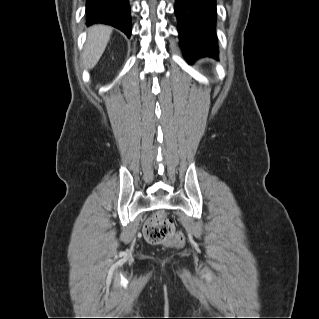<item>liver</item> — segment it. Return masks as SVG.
<instances>
[{"mask_svg": "<svg viewBox=\"0 0 319 319\" xmlns=\"http://www.w3.org/2000/svg\"><path fill=\"white\" fill-rule=\"evenodd\" d=\"M112 28L105 25H94L88 29L83 60L88 69H92L102 56L110 39Z\"/></svg>", "mask_w": 319, "mask_h": 319, "instance_id": "obj_1", "label": "liver"}]
</instances>
